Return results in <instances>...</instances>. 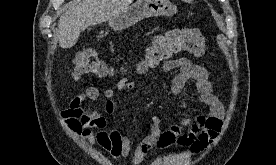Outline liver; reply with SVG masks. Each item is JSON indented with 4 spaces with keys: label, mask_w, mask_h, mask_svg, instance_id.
<instances>
[{
    "label": "liver",
    "mask_w": 276,
    "mask_h": 165,
    "mask_svg": "<svg viewBox=\"0 0 276 165\" xmlns=\"http://www.w3.org/2000/svg\"><path fill=\"white\" fill-rule=\"evenodd\" d=\"M133 0H83L60 17L57 38L59 45L73 47L81 31L110 21L126 10Z\"/></svg>",
    "instance_id": "obj_1"
}]
</instances>
